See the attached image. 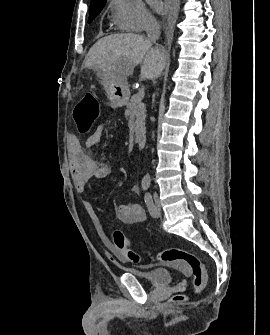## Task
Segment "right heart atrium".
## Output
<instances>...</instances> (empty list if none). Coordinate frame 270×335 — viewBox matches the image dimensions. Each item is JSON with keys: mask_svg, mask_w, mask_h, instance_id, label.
Instances as JSON below:
<instances>
[{"mask_svg": "<svg viewBox=\"0 0 270 335\" xmlns=\"http://www.w3.org/2000/svg\"><path fill=\"white\" fill-rule=\"evenodd\" d=\"M114 19L125 31H141V25H158L155 17L140 0H111Z\"/></svg>", "mask_w": 270, "mask_h": 335, "instance_id": "right-heart-atrium-1", "label": "right heart atrium"}]
</instances>
